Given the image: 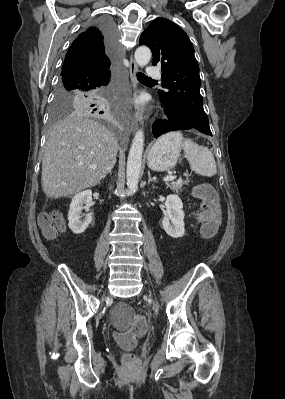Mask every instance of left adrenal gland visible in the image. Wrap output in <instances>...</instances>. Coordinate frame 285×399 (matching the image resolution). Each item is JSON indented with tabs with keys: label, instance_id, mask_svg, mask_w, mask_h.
<instances>
[{
	"label": "left adrenal gland",
	"instance_id": "left-adrenal-gland-1",
	"mask_svg": "<svg viewBox=\"0 0 285 399\" xmlns=\"http://www.w3.org/2000/svg\"><path fill=\"white\" fill-rule=\"evenodd\" d=\"M148 178V184H150V182H156V179L151 178L150 171H148Z\"/></svg>",
	"mask_w": 285,
	"mask_h": 399
}]
</instances>
